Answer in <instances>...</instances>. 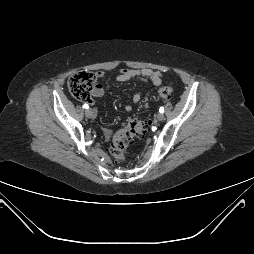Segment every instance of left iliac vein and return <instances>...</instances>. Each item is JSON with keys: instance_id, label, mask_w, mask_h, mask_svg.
<instances>
[{"instance_id": "4c4485c4", "label": "left iliac vein", "mask_w": 254, "mask_h": 254, "mask_svg": "<svg viewBox=\"0 0 254 254\" xmlns=\"http://www.w3.org/2000/svg\"><path fill=\"white\" fill-rule=\"evenodd\" d=\"M164 114L163 113H159L158 115H157V119L159 120V121H163L164 120Z\"/></svg>"}]
</instances>
